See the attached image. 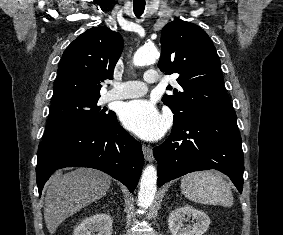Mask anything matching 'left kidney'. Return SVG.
Here are the masks:
<instances>
[{"instance_id":"obj_1","label":"left kidney","mask_w":283,"mask_h":235,"mask_svg":"<svg viewBox=\"0 0 283 235\" xmlns=\"http://www.w3.org/2000/svg\"><path fill=\"white\" fill-rule=\"evenodd\" d=\"M191 217L193 225L184 227L183 222L189 221ZM210 222L206 213L186 205L170 213L168 228L172 235H203L209 228Z\"/></svg>"}]
</instances>
